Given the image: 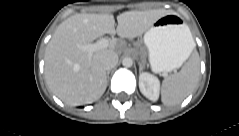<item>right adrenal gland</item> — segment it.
<instances>
[{
    "mask_svg": "<svg viewBox=\"0 0 239 136\" xmlns=\"http://www.w3.org/2000/svg\"><path fill=\"white\" fill-rule=\"evenodd\" d=\"M109 74H110V71L107 72V82L109 80Z\"/></svg>",
    "mask_w": 239,
    "mask_h": 136,
    "instance_id": "1",
    "label": "right adrenal gland"
}]
</instances>
